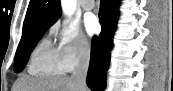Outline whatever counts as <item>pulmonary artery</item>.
<instances>
[{
  "mask_svg": "<svg viewBox=\"0 0 173 91\" xmlns=\"http://www.w3.org/2000/svg\"><path fill=\"white\" fill-rule=\"evenodd\" d=\"M80 3L84 10H92L95 6V2L93 0H82Z\"/></svg>",
  "mask_w": 173,
  "mask_h": 91,
  "instance_id": "e3ab8cb5",
  "label": "pulmonary artery"
}]
</instances>
